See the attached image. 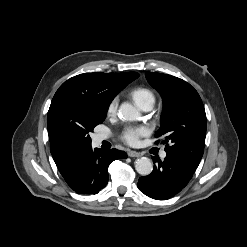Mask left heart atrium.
Segmentation results:
<instances>
[{
    "mask_svg": "<svg viewBox=\"0 0 247 247\" xmlns=\"http://www.w3.org/2000/svg\"><path fill=\"white\" fill-rule=\"evenodd\" d=\"M147 134V129L144 127H128L123 133V140L129 145H136L140 137Z\"/></svg>",
    "mask_w": 247,
    "mask_h": 247,
    "instance_id": "39dd6f15",
    "label": "left heart atrium"
}]
</instances>
